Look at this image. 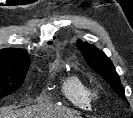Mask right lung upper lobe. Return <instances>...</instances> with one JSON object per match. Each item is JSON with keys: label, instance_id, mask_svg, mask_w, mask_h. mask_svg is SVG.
<instances>
[{"label": "right lung upper lobe", "instance_id": "cb5924a9", "mask_svg": "<svg viewBox=\"0 0 133 118\" xmlns=\"http://www.w3.org/2000/svg\"><path fill=\"white\" fill-rule=\"evenodd\" d=\"M30 64L27 51L19 48H6L0 51V68H15Z\"/></svg>", "mask_w": 133, "mask_h": 118}]
</instances>
